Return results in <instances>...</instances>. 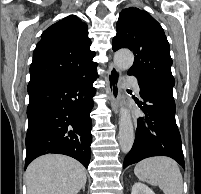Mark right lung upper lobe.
I'll return each mask as SVG.
<instances>
[{
	"label": "right lung upper lobe",
	"instance_id": "1",
	"mask_svg": "<svg viewBox=\"0 0 201 194\" xmlns=\"http://www.w3.org/2000/svg\"><path fill=\"white\" fill-rule=\"evenodd\" d=\"M88 26L70 15L47 28L41 36L30 66V82L70 81L96 70L89 49Z\"/></svg>",
	"mask_w": 201,
	"mask_h": 194
}]
</instances>
